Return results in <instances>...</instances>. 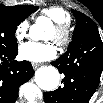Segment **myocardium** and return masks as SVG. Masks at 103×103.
Instances as JSON below:
<instances>
[{
  "instance_id": "1",
  "label": "myocardium",
  "mask_w": 103,
  "mask_h": 103,
  "mask_svg": "<svg viewBox=\"0 0 103 103\" xmlns=\"http://www.w3.org/2000/svg\"><path fill=\"white\" fill-rule=\"evenodd\" d=\"M56 35L55 39L60 45H65L69 41V27L67 24L57 23L54 27Z\"/></svg>"
}]
</instances>
